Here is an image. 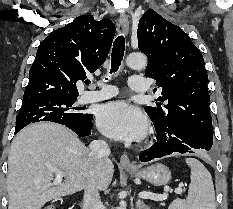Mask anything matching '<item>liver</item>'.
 I'll use <instances>...</instances> for the list:
<instances>
[{
    "label": "liver",
    "instance_id": "1",
    "mask_svg": "<svg viewBox=\"0 0 233 209\" xmlns=\"http://www.w3.org/2000/svg\"><path fill=\"white\" fill-rule=\"evenodd\" d=\"M89 149L64 126L35 123L20 131L8 156V209H41L47 202L74 194L92 182L103 191L110 185L114 165L95 161ZM49 166L62 171L65 180L53 185Z\"/></svg>",
    "mask_w": 233,
    "mask_h": 209
}]
</instances>
